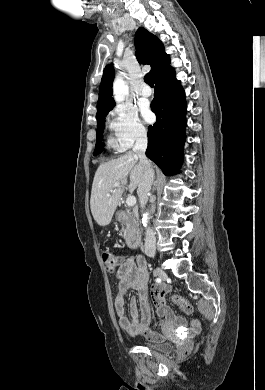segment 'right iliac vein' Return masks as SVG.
<instances>
[{"label": "right iliac vein", "mask_w": 265, "mask_h": 390, "mask_svg": "<svg viewBox=\"0 0 265 390\" xmlns=\"http://www.w3.org/2000/svg\"><path fill=\"white\" fill-rule=\"evenodd\" d=\"M154 274L156 276H158L159 278H161V279H166L167 278L166 272L163 269L159 268V267H157L155 269Z\"/></svg>", "instance_id": "63e3f726"}]
</instances>
